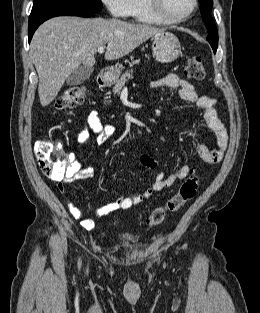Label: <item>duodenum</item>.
Segmentation results:
<instances>
[{"label":"duodenum","mask_w":260,"mask_h":313,"mask_svg":"<svg viewBox=\"0 0 260 313\" xmlns=\"http://www.w3.org/2000/svg\"><path fill=\"white\" fill-rule=\"evenodd\" d=\"M109 83V73L108 70L103 69L98 77V85L100 87H105Z\"/></svg>","instance_id":"duodenum-1"}]
</instances>
